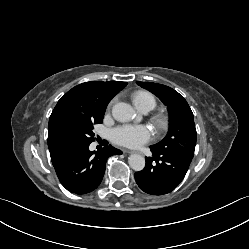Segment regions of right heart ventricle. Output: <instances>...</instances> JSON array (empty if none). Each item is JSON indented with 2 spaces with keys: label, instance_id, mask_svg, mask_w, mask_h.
<instances>
[{
  "label": "right heart ventricle",
  "instance_id": "obj_1",
  "mask_svg": "<svg viewBox=\"0 0 249 249\" xmlns=\"http://www.w3.org/2000/svg\"><path fill=\"white\" fill-rule=\"evenodd\" d=\"M133 103L141 111L152 110L156 106L155 98L148 92H137L132 97Z\"/></svg>",
  "mask_w": 249,
  "mask_h": 249
}]
</instances>
